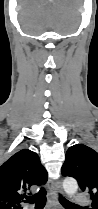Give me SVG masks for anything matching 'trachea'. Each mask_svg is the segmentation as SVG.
Listing matches in <instances>:
<instances>
[{
    "label": "trachea",
    "mask_w": 98,
    "mask_h": 209,
    "mask_svg": "<svg viewBox=\"0 0 98 209\" xmlns=\"http://www.w3.org/2000/svg\"><path fill=\"white\" fill-rule=\"evenodd\" d=\"M59 201L64 207L75 205L61 195L59 196ZM26 202L30 204H35V209H43L46 204V190L44 188H41L40 191L35 195L27 197Z\"/></svg>",
    "instance_id": "trachea-1"
}]
</instances>
